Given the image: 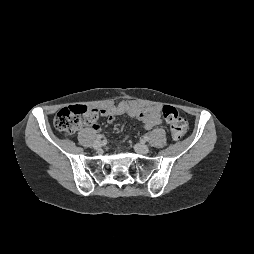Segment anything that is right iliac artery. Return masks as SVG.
<instances>
[{
  "mask_svg": "<svg viewBox=\"0 0 254 254\" xmlns=\"http://www.w3.org/2000/svg\"><path fill=\"white\" fill-rule=\"evenodd\" d=\"M102 138H103V135H101V134L97 135V139H98V140H100V139H102Z\"/></svg>",
  "mask_w": 254,
  "mask_h": 254,
  "instance_id": "1",
  "label": "right iliac artery"
}]
</instances>
